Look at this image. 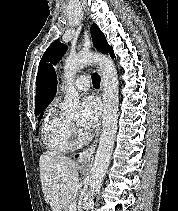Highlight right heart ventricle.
<instances>
[{
    "label": "right heart ventricle",
    "instance_id": "right-heart-ventricle-1",
    "mask_svg": "<svg viewBox=\"0 0 178 211\" xmlns=\"http://www.w3.org/2000/svg\"><path fill=\"white\" fill-rule=\"evenodd\" d=\"M69 121L55 107H52L42 126V139L46 147L56 153L73 149L69 133Z\"/></svg>",
    "mask_w": 178,
    "mask_h": 211
}]
</instances>
